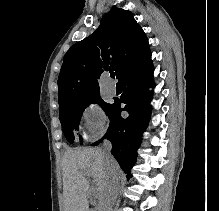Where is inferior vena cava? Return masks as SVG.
I'll use <instances>...</instances> for the list:
<instances>
[{
	"instance_id": "602c4592",
	"label": "inferior vena cava",
	"mask_w": 219,
	"mask_h": 211,
	"mask_svg": "<svg viewBox=\"0 0 219 211\" xmlns=\"http://www.w3.org/2000/svg\"><path fill=\"white\" fill-rule=\"evenodd\" d=\"M111 149V141L104 139L102 153L105 165H107L104 167V170L108 171L110 178H108V183H106V193L109 194L108 197L105 198L106 202L102 203V206L108 208H99L98 211H111V207L115 206L114 202L116 201V198L119 197L118 193L119 188H121V183H123V179H125V174H121V171L117 170V167L114 166L115 162L110 153Z\"/></svg>"
}]
</instances>
